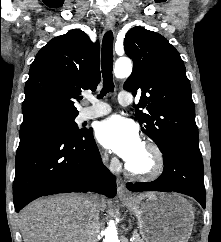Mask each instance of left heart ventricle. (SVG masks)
<instances>
[{"label": "left heart ventricle", "mask_w": 221, "mask_h": 242, "mask_svg": "<svg viewBox=\"0 0 221 242\" xmlns=\"http://www.w3.org/2000/svg\"><path fill=\"white\" fill-rule=\"evenodd\" d=\"M129 163L136 169L144 170L150 164L149 153L142 146L136 156Z\"/></svg>", "instance_id": "obj_1"}]
</instances>
